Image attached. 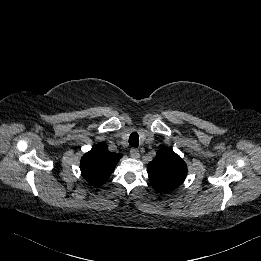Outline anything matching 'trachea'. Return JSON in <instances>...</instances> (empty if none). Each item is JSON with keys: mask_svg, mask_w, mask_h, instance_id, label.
Instances as JSON below:
<instances>
[{"mask_svg": "<svg viewBox=\"0 0 261 261\" xmlns=\"http://www.w3.org/2000/svg\"><path fill=\"white\" fill-rule=\"evenodd\" d=\"M129 144L132 147H138L139 146V135L136 132H133L129 137Z\"/></svg>", "mask_w": 261, "mask_h": 261, "instance_id": "1", "label": "trachea"}]
</instances>
